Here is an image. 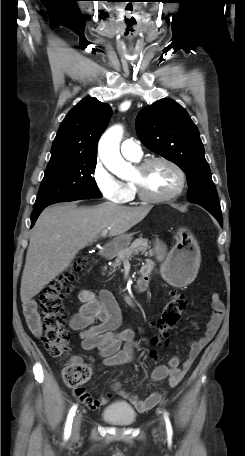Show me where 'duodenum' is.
Here are the masks:
<instances>
[{
  "mask_svg": "<svg viewBox=\"0 0 245 456\" xmlns=\"http://www.w3.org/2000/svg\"><path fill=\"white\" fill-rule=\"evenodd\" d=\"M114 249H115V243H113V242L108 243L105 246V248L103 249V251L101 252V257L102 258L110 257L113 254ZM147 284H148L147 278L145 276H142L137 283V289L139 291H143L146 289Z\"/></svg>",
  "mask_w": 245,
  "mask_h": 456,
  "instance_id": "obj_1",
  "label": "duodenum"
}]
</instances>
